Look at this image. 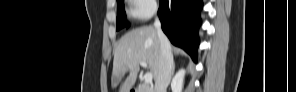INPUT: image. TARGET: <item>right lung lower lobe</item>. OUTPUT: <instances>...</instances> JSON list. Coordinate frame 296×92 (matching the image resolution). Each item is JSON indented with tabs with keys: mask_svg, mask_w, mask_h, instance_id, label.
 <instances>
[{
	"mask_svg": "<svg viewBox=\"0 0 296 92\" xmlns=\"http://www.w3.org/2000/svg\"><path fill=\"white\" fill-rule=\"evenodd\" d=\"M202 0H160L158 15L170 41L196 61Z\"/></svg>",
	"mask_w": 296,
	"mask_h": 92,
	"instance_id": "1",
	"label": "right lung lower lobe"
}]
</instances>
